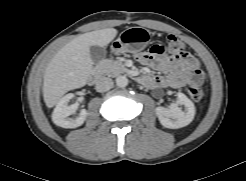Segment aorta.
I'll return each mask as SVG.
<instances>
[{
    "label": "aorta",
    "instance_id": "obj_1",
    "mask_svg": "<svg viewBox=\"0 0 246 181\" xmlns=\"http://www.w3.org/2000/svg\"><path fill=\"white\" fill-rule=\"evenodd\" d=\"M116 85L120 88H124L128 85V78L126 76H118L116 78Z\"/></svg>",
    "mask_w": 246,
    "mask_h": 181
}]
</instances>
